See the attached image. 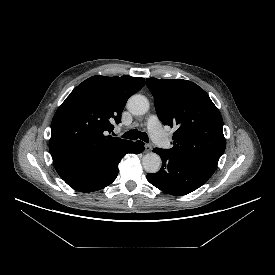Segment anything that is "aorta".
<instances>
[{"instance_id":"1","label":"aorta","mask_w":275,"mask_h":275,"mask_svg":"<svg viewBox=\"0 0 275 275\" xmlns=\"http://www.w3.org/2000/svg\"><path fill=\"white\" fill-rule=\"evenodd\" d=\"M127 109L133 115H143L149 110V101L143 95H133L127 102ZM142 165L146 172L156 173L161 167V158L156 153H147L142 158Z\"/></svg>"}]
</instances>
